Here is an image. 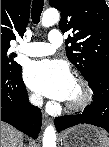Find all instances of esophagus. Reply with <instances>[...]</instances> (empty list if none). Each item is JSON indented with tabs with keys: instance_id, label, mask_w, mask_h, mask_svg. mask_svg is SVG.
Segmentation results:
<instances>
[{
	"instance_id": "34e87169",
	"label": "esophagus",
	"mask_w": 109,
	"mask_h": 147,
	"mask_svg": "<svg viewBox=\"0 0 109 147\" xmlns=\"http://www.w3.org/2000/svg\"><path fill=\"white\" fill-rule=\"evenodd\" d=\"M42 118H43L44 125H47L50 123V118L45 113L42 114Z\"/></svg>"
}]
</instances>
